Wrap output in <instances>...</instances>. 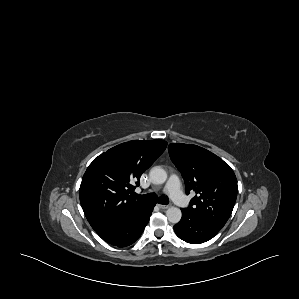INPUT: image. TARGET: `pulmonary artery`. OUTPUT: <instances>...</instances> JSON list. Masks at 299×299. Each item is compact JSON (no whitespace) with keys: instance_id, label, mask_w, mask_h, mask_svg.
Wrapping results in <instances>:
<instances>
[{"instance_id":"obj_1","label":"pulmonary artery","mask_w":299,"mask_h":299,"mask_svg":"<svg viewBox=\"0 0 299 299\" xmlns=\"http://www.w3.org/2000/svg\"><path fill=\"white\" fill-rule=\"evenodd\" d=\"M164 190L170 195L175 203H177L179 206H185L186 199L181 190L180 179L177 175L172 174L169 177Z\"/></svg>"}]
</instances>
